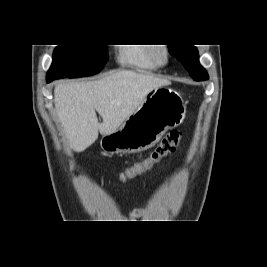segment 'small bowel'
Returning a JSON list of instances; mask_svg holds the SVG:
<instances>
[{"label":"small bowel","mask_w":267,"mask_h":267,"mask_svg":"<svg viewBox=\"0 0 267 267\" xmlns=\"http://www.w3.org/2000/svg\"><path fill=\"white\" fill-rule=\"evenodd\" d=\"M142 213H143V211H142L141 209H135V210L132 212L131 216H132V217H139V216L142 215Z\"/></svg>","instance_id":"obj_1"}]
</instances>
